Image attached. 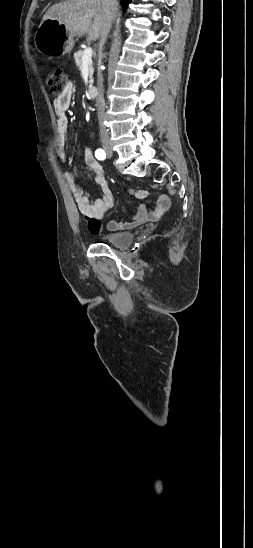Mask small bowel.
I'll use <instances>...</instances> for the list:
<instances>
[{
  "label": "small bowel",
  "mask_w": 253,
  "mask_h": 548,
  "mask_svg": "<svg viewBox=\"0 0 253 548\" xmlns=\"http://www.w3.org/2000/svg\"><path fill=\"white\" fill-rule=\"evenodd\" d=\"M74 86L69 82L65 90L59 94L53 101V108L56 115V135L54 138V147L58 157L62 161L67 160L66 140L69 127L67 112L70 109ZM84 160L87 167L93 173L94 182L101 194V197L91 201L90 198L81 193L76 185L74 176L70 172H66L64 177L67 185L73 193L77 207L81 214L86 217L88 230L97 235L101 233V220L104 215L113 209L115 205L114 195L109 189L108 183L104 177L103 169L100 163L95 159L90 146L85 148ZM132 195L138 199H145L148 191L140 189L132 191ZM170 200L167 196H161L157 206L153 211H149L146 204L142 203L137 214L128 222L111 221L108 225L109 230L118 231L129 229L141 225L148 221L156 220L166 209H168Z\"/></svg>",
  "instance_id": "c3829d8e"
}]
</instances>
